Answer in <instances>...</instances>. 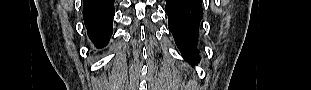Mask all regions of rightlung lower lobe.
<instances>
[{
    "label": "right lung lower lobe",
    "instance_id": "1",
    "mask_svg": "<svg viewBox=\"0 0 311 90\" xmlns=\"http://www.w3.org/2000/svg\"><path fill=\"white\" fill-rule=\"evenodd\" d=\"M114 0H84L83 18L91 41L97 46L106 45L112 35Z\"/></svg>",
    "mask_w": 311,
    "mask_h": 90
}]
</instances>
